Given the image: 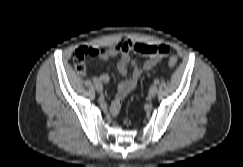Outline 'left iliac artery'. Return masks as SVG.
<instances>
[{
    "label": "left iliac artery",
    "instance_id": "44dca946",
    "mask_svg": "<svg viewBox=\"0 0 243 167\" xmlns=\"http://www.w3.org/2000/svg\"><path fill=\"white\" fill-rule=\"evenodd\" d=\"M159 83V80L158 79H155L154 80V84H158Z\"/></svg>",
    "mask_w": 243,
    "mask_h": 167
}]
</instances>
